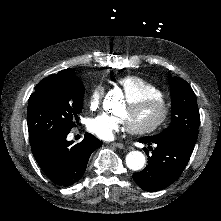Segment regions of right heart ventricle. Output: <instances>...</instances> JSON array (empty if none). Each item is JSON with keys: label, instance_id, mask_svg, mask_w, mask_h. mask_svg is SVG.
Segmentation results:
<instances>
[{"label": "right heart ventricle", "instance_id": "obj_1", "mask_svg": "<svg viewBox=\"0 0 221 221\" xmlns=\"http://www.w3.org/2000/svg\"><path fill=\"white\" fill-rule=\"evenodd\" d=\"M119 85L123 88L125 101L131 108H134L140 101L152 99L156 93H165L161 86L140 77L123 78L120 80Z\"/></svg>", "mask_w": 221, "mask_h": 221}]
</instances>
